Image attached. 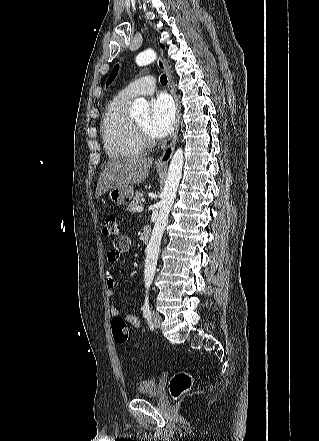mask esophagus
<instances>
[{
  "instance_id": "obj_1",
  "label": "esophagus",
  "mask_w": 319,
  "mask_h": 441,
  "mask_svg": "<svg viewBox=\"0 0 319 441\" xmlns=\"http://www.w3.org/2000/svg\"><path fill=\"white\" fill-rule=\"evenodd\" d=\"M157 65H158V67L161 70H163L165 72V74L167 76L168 89H169V92L171 93V95L174 98L175 106H176L175 130H174V133H173L172 141L169 144V146L166 148V150L164 151L162 156L156 162L158 165H166L169 162V160L171 159V157H172V154L174 152V149H175V146H176V142H177L178 130H179V121H180V107H179V103H178V98H177L175 90L173 88L172 79H171V75H170L169 69H168L167 65L165 64V62L162 60L161 57H157Z\"/></svg>"
}]
</instances>
